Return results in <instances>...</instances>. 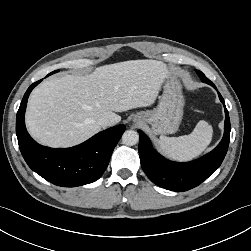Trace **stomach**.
<instances>
[{"label": "stomach", "mask_w": 251, "mask_h": 251, "mask_svg": "<svg viewBox=\"0 0 251 251\" xmlns=\"http://www.w3.org/2000/svg\"><path fill=\"white\" fill-rule=\"evenodd\" d=\"M184 105L180 80L176 75L167 72L158 106L153 110L138 112L135 117H141L143 122L150 124L153 135L173 134L181 124Z\"/></svg>", "instance_id": "obj_1"}]
</instances>
